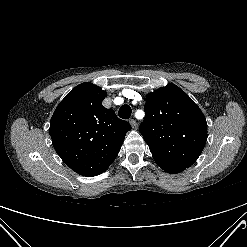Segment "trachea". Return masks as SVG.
<instances>
[{
    "label": "trachea",
    "mask_w": 247,
    "mask_h": 247,
    "mask_svg": "<svg viewBox=\"0 0 247 247\" xmlns=\"http://www.w3.org/2000/svg\"><path fill=\"white\" fill-rule=\"evenodd\" d=\"M132 110L129 105H123L118 112V115L122 119H129L131 116Z\"/></svg>",
    "instance_id": "obj_1"
}]
</instances>
